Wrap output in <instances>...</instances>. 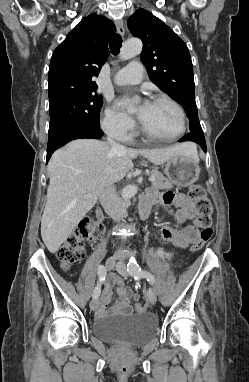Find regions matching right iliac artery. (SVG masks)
<instances>
[{
	"label": "right iliac artery",
	"instance_id": "82829eb1",
	"mask_svg": "<svg viewBox=\"0 0 249 382\" xmlns=\"http://www.w3.org/2000/svg\"><path fill=\"white\" fill-rule=\"evenodd\" d=\"M106 278V269L103 265H100L98 268V282L93 291V298H98L101 292V285Z\"/></svg>",
	"mask_w": 249,
	"mask_h": 382
}]
</instances>
